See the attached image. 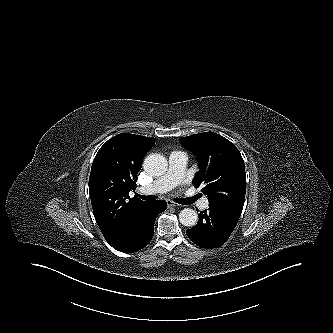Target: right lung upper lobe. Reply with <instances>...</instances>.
<instances>
[{"label": "right lung upper lobe", "mask_w": 333, "mask_h": 333, "mask_svg": "<svg viewBox=\"0 0 333 333\" xmlns=\"http://www.w3.org/2000/svg\"><path fill=\"white\" fill-rule=\"evenodd\" d=\"M155 138L121 133L98 151L89 178V195L95 220L106 241L113 245L131 218L150 202L129 192L136 188L137 173Z\"/></svg>", "instance_id": "right-lung-upper-lobe-1"}]
</instances>
